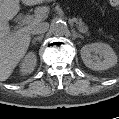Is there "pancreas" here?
Listing matches in <instances>:
<instances>
[{"label":"pancreas","mask_w":119,"mask_h":119,"mask_svg":"<svg viewBox=\"0 0 119 119\" xmlns=\"http://www.w3.org/2000/svg\"><path fill=\"white\" fill-rule=\"evenodd\" d=\"M74 22H76V25L78 27V30L81 33H85V34H88L89 35L88 27L86 25H84V23L81 21V19H79L78 21L75 20Z\"/></svg>","instance_id":"obj_1"}]
</instances>
